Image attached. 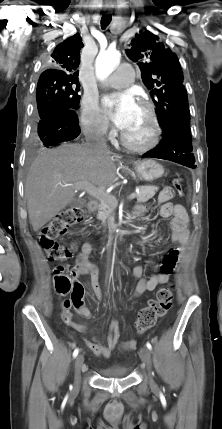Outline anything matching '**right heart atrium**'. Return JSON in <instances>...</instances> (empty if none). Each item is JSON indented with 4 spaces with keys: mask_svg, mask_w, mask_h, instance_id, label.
Wrapping results in <instances>:
<instances>
[{
    "mask_svg": "<svg viewBox=\"0 0 222 429\" xmlns=\"http://www.w3.org/2000/svg\"><path fill=\"white\" fill-rule=\"evenodd\" d=\"M80 123L83 131L94 137H105L110 130V125L97 99L87 95L81 101Z\"/></svg>",
    "mask_w": 222,
    "mask_h": 429,
    "instance_id": "1",
    "label": "right heart atrium"
}]
</instances>
